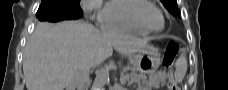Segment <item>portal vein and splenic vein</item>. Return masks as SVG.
Segmentation results:
<instances>
[{
	"mask_svg": "<svg viewBox=\"0 0 228 90\" xmlns=\"http://www.w3.org/2000/svg\"><path fill=\"white\" fill-rule=\"evenodd\" d=\"M126 82L125 78L121 80V83L124 84Z\"/></svg>",
	"mask_w": 228,
	"mask_h": 90,
	"instance_id": "18ae733b",
	"label": "portal vein and splenic vein"
}]
</instances>
